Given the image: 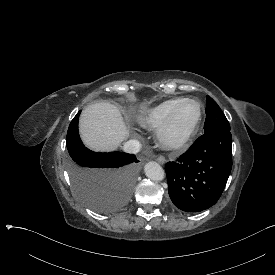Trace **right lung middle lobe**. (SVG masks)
<instances>
[{"label":"right lung middle lobe","instance_id":"dd1d6c3e","mask_svg":"<svg viewBox=\"0 0 275 275\" xmlns=\"http://www.w3.org/2000/svg\"><path fill=\"white\" fill-rule=\"evenodd\" d=\"M80 112L71 121L66 138L72 186L86 206L112 214L129 201L139 176V160L134 154L98 153L86 148L78 132Z\"/></svg>","mask_w":275,"mask_h":275}]
</instances>
